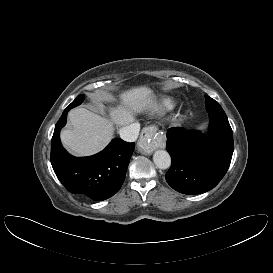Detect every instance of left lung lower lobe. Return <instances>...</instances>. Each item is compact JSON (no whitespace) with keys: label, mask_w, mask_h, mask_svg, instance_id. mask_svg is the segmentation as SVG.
Here are the masks:
<instances>
[{"label":"left lung lower lobe","mask_w":273,"mask_h":273,"mask_svg":"<svg viewBox=\"0 0 273 273\" xmlns=\"http://www.w3.org/2000/svg\"><path fill=\"white\" fill-rule=\"evenodd\" d=\"M210 137L181 127L167 130L166 149L172 163L167 183L184 194H200L214 188L227 172L233 154V132L226 115H211Z\"/></svg>","instance_id":"obj_1"}]
</instances>
